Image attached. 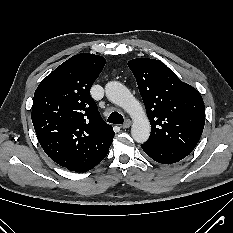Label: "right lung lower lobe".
Wrapping results in <instances>:
<instances>
[{
	"label": "right lung lower lobe",
	"instance_id": "1",
	"mask_svg": "<svg viewBox=\"0 0 233 233\" xmlns=\"http://www.w3.org/2000/svg\"><path fill=\"white\" fill-rule=\"evenodd\" d=\"M107 155V153L105 155H103L101 158H99L98 160H96L94 163H92L90 166L78 171V172H86L88 170H91L92 168H94L98 163H100L104 158L105 156Z\"/></svg>",
	"mask_w": 233,
	"mask_h": 233
}]
</instances>
